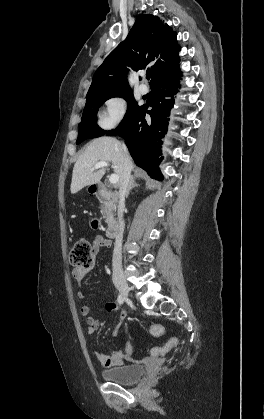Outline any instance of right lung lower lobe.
I'll return each instance as SVG.
<instances>
[{
    "mask_svg": "<svg viewBox=\"0 0 264 419\" xmlns=\"http://www.w3.org/2000/svg\"><path fill=\"white\" fill-rule=\"evenodd\" d=\"M181 73H171L158 78L151 85L155 94L154 102L147 111V105L138 107L116 129L107 135H119L125 138V143L136 165L143 168L157 180L163 176L157 167L161 154V138L167 132L170 110L174 104ZM151 116L145 119V114Z\"/></svg>",
    "mask_w": 264,
    "mask_h": 419,
    "instance_id": "right-lung-lower-lobe-1",
    "label": "right lung lower lobe"
}]
</instances>
